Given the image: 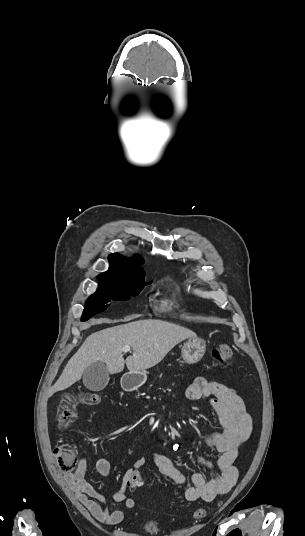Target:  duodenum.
<instances>
[{
	"label": "duodenum",
	"mask_w": 305,
	"mask_h": 536,
	"mask_svg": "<svg viewBox=\"0 0 305 536\" xmlns=\"http://www.w3.org/2000/svg\"><path fill=\"white\" fill-rule=\"evenodd\" d=\"M140 384V379L137 376L125 375L122 380V386L126 391H132L136 389Z\"/></svg>",
	"instance_id": "410a0bca"
}]
</instances>
